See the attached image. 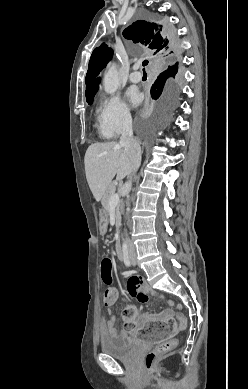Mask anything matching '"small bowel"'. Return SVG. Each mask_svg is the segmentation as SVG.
Wrapping results in <instances>:
<instances>
[{
  "label": "small bowel",
  "mask_w": 248,
  "mask_h": 389,
  "mask_svg": "<svg viewBox=\"0 0 248 389\" xmlns=\"http://www.w3.org/2000/svg\"><path fill=\"white\" fill-rule=\"evenodd\" d=\"M143 277L144 274L141 272H132L130 274V276L127 278V281L129 282L126 287L127 294L140 304L148 301L149 298L151 297L157 298L160 301H165L166 300L165 296L162 293L150 288L148 284L145 282ZM112 288H114L118 293V290L115 287ZM168 303L170 305L173 304V302L170 300H168ZM112 304H109L108 306L110 307ZM177 309L181 310V306H178ZM108 314H109V318L102 322L101 335L105 336V335H112L118 333L128 337L127 331H121V332L116 331V327H115L116 317L110 308L108 309ZM165 318H172V312L166 311L163 312L162 314L144 315L136 322V327L133 330H138V327L142 326L144 322H148L156 319H165ZM133 330H131L130 332H132Z\"/></svg>",
  "instance_id": "small-bowel-1"
}]
</instances>
